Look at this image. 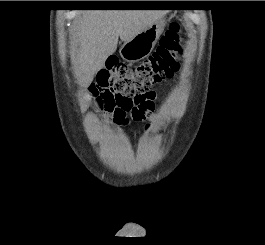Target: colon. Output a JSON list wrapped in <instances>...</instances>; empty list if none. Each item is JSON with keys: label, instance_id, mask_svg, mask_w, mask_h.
<instances>
[{"label": "colon", "instance_id": "5ec220e1", "mask_svg": "<svg viewBox=\"0 0 265 245\" xmlns=\"http://www.w3.org/2000/svg\"><path fill=\"white\" fill-rule=\"evenodd\" d=\"M180 32V23L172 22L156 51L136 65L110 59L96 76L98 110L119 122L127 121L130 115H143L154 102V86L179 71L183 54Z\"/></svg>", "mask_w": 265, "mask_h": 245}]
</instances>
